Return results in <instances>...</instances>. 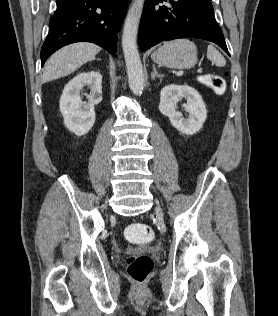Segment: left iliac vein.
Wrapping results in <instances>:
<instances>
[{
  "label": "left iliac vein",
  "mask_w": 278,
  "mask_h": 316,
  "mask_svg": "<svg viewBox=\"0 0 278 316\" xmlns=\"http://www.w3.org/2000/svg\"><path fill=\"white\" fill-rule=\"evenodd\" d=\"M156 214L158 216V219L162 221L163 220V213H162V210H161L159 205L156 207Z\"/></svg>",
  "instance_id": "obj_1"
}]
</instances>
